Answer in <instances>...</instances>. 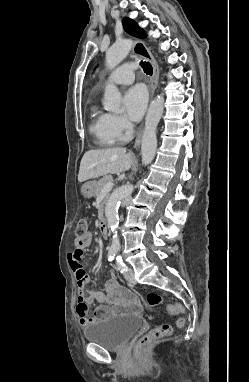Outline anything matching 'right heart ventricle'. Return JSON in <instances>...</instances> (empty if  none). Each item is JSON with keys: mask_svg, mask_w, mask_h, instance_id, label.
Returning a JSON list of instances; mask_svg holds the SVG:
<instances>
[{"mask_svg": "<svg viewBox=\"0 0 249 382\" xmlns=\"http://www.w3.org/2000/svg\"><path fill=\"white\" fill-rule=\"evenodd\" d=\"M91 131L100 144L109 146L117 142L112 136L108 128L109 114L101 111L96 105H92L91 109Z\"/></svg>", "mask_w": 249, "mask_h": 382, "instance_id": "obj_1", "label": "right heart ventricle"}]
</instances>
